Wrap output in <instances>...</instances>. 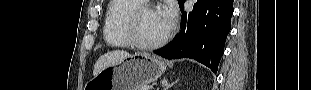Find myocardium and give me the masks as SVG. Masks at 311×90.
I'll return each mask as SVG.
<instances>
[{"mask_svg":"<svg viewBox=\"0 0 311 90\" xmlns=\"http://www.w3.org/2000/svg\"><path fill=\"white\" fill-rule=\"evenodd\" d=\"M156 10L155 6L142 5L136 8L129 16L127 22L128 36L132 46L142 50H152L164 45L173 34V28H169L168 32L155 42H145L140 36V20L145 11Z\"/></svg>","mask_w":311,"mask_h":90,"instance_id":"1","label":"myocardium"}]
</instances>
